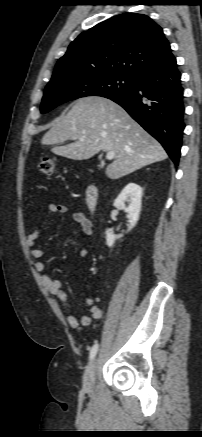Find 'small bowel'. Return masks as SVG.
<instances>
[{"label":"small bowel","instance_id":"c3829d8e","mask_svg":"<svg viewBox=\"0 0 202 437\" xmlns=\"http://www.w3.org/2000/svg\"><path fill=\"white\" fill-rule=\"evenodd\" d=\"M48 210L51 214H68L69 208L64 204H55L50 203L48 205ZM72 218L75 222H77L81 228L83 233L91 237L93 235V225L92 222L85 216L84 213L80 211H74L72 213ZM42 229L38 228L30 233L26 239V244L29 249L30 255L36 259L34 262L35 270L41 274V280L47 290L54 296H56L61 304L64 307L65 312L67 313V322L69 326L73 329L79 330L80 322L83 325H89L93 321V319H100L103 316V310L95 304V300L92 298H85V304L90 308V313L82 316L81 320L77 318V316L72 312L70 308L69 298L67 293L62 289V282L58 279H53L48 274L44 273L45 263L41 260L44 255V250L42 248L36 247L35 244L37 240L40 238L42 234ZM89 250L87 247H84L80 250L81 256H86Z\"/></svg>","mask_w":202,"mask_h":437}]
</instances>
